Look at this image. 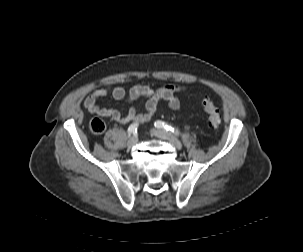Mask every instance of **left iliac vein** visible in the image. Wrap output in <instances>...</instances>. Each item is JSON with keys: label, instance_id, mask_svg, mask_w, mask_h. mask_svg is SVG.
<instances>
[{"label": "left iliac vein", "instance_id": "left-iliac-vein-1", "mask_svg": "<svg viewBox=\"0 0 303 252\" xmlns=\"http://www.w3.org/2000/svg\"><path fill=\"white\" fill-rule=\"evenodd\" d=\"M153 134L161 139L169 141L172 144V146H174L178 150L182 148L181 142L177 140L171 133L165 130L162 129L154 130Z\"/></svg>", "mask_w": 303, "mask_h": 252}]
</instances>
